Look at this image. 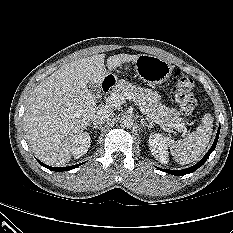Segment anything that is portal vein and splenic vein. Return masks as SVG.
Instances as JSON below:
<instances>
[{"label": "portal vein and splenic vein", "instance_id": "obj_1", "mask_svg": "<svg viewBox=\"0 0 233 233\" xmlns=\"http://www.w3.org/2000/svg\"><path fill=\"white\" fill-rule=\"evenodd\" d=\"M126 99L128 100H134L133 96L126 93ZM106 101L108 102V104H110L111 106H120L124 101H125V98L124 97H120V96H117V95H110L107 97ZM139 108H140V111L143 113V114H146L147 117H149L153 122L159 124V125H163V122L159 119H157L156 117H154L152 114H149L147 110H145L139 103ZM166 126H169V127H173L175 128L177 131H183L184 133H187V128L183 125V124H168Z\"/></svg>", "mask_w": 233, "mask_h": 233}]
</instances>
